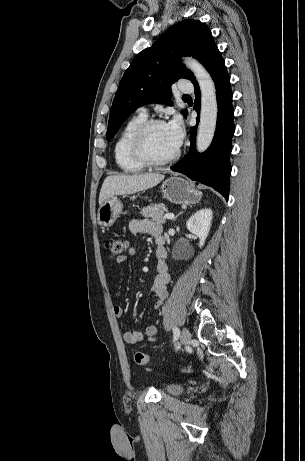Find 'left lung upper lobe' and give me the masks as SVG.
Wrapping results in <instances>:
<instances>
[{
	"label": "left lung upper lobe",
	"instance_id": "left-lung-upper-lobe-1",
	"mask_svg": "<svg viewBox=\"0 0 305 461\" xmlns=\"http://www.w3.org/2000/svg\"><path fill=\"white\" fill-rule=\"evenodd\" d=\"M219 53L210 30L198 20H183L167 30L150 48L140 52L125 71L112 104L107 139L115 136L138 107L154 102L172 105L171 85L178 79L196 82L180 56H192L208 70ZM182 113L187 114V110Z\"/></svg>",
	"mask_w": 305,
	"mask_h": 461
}]
</instances>
